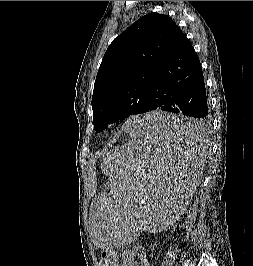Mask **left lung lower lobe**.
I'll return each mask as SVG.
<instances>
[{
	"instance_id": "1",
	"label": "left lung lower lobe",
	"mask_w": 253,
	"mask_h": 266,
	"mask_svg": "<svg viewBox=\"0 0 253 266\" xmlns=\"http://www.w3.org/2000/svg\"><path fill=\"white\" fill-rule=\"evenodd\" d=\"M153 110L193 118L192 122L157 125L153 128L159 134L179 139L199 137L209 123L202 67L193 46L178 26L154 72L145 112Z\"/></svg>"
}]
</instances>
